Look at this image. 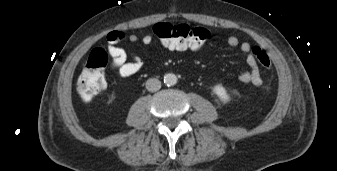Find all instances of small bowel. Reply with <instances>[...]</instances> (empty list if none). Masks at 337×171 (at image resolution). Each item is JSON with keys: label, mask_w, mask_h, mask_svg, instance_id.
Wrapping results in <instances>:
<instances>
[{"label": "small bowel", "mask_w": 337, "mask_h": 171, "mask_svg": "<svg viewBox=\"0 0 337 171\" xmlns=\"http://www.w3.org/2000/svg\"><path fill=\"white\" fill-rule=\"evenodd\" d=\"M123 39L133 44L141 42L145 46H150L153 43V37L149 34L139 37L136 34H124L118 31H113L107 35V50L110 56L111 69L117 76L128 78L139 73L143 67V63L138 56L134 54L130 55L125 49L116 45ZM227 44L230 47L239 46L240 51L246 55V63L249 70L242 72L239 75V80L245 84L260 86L262 84V78L256 58L251 53V45L247 42L241 43L235 36L228 37ZM129 57H131L130 61Z\"/></svg>", "instance_id": "obj_1"}]
</instances>
